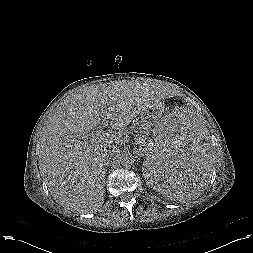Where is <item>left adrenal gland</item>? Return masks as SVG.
Wrapping results in <instances>:
<instances>
[{
	"label": "left adrenal gland",
	"instance_id": "1",
	"mask_svg": "<svg viewBox=\"0 0 253 253\" xmlns=\"http://www.w3.org/2000/svg\"><path fill=\"white\" fill-rule=\"evenodd\" d=\"M136 152L142 155L143 150L140 148V149H137Z\"/></svg>",
	"mask_w": 253,
	"mask_h": 253
}]
</instances>
